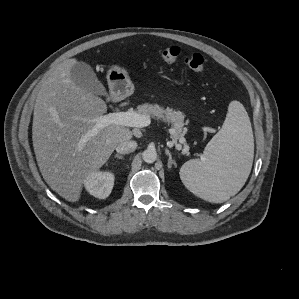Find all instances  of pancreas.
<instances>
[{
    "instance_id": "1",
    "label": "pancreas",
    "mask_w": 299,
    "mask_h": 299,
    "mask_svg": "<svg viewBox=\"0 0 299 299\" xmlns=\"http://www.w3.org/2000/svg\"><path fill=\"white\" fill-rule=\"evenodd\" d=\"M134 112L149 119L170 123L173 129L171 137L174 141L183 137L187 132V128L184 123V115L180 111H174L171 108L165 109L159 105L144 103L139 105L137 110Z\"/></svg>"
}]
</instances>
